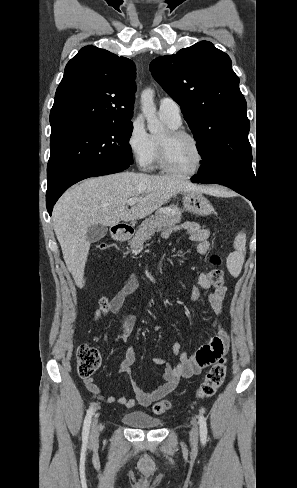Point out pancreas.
<instances>
[{
    "instance_id": "pancreas-1",
    "label": "pancreas",
    "mask_w": 297,
    "mask_h": 488,
    "mask_svg": "<svg viewBox=\"0 0 297 488\" xmlns=\"http://www.w3.org/2000/svg\"><path fill=\"white\" fill-rule=\"evenodd\" d=\"M162 211L161 209L156 214L148 219H145L135 236L130 242V247L133 250H139L143 247V244L151 238V236L163 227L171 226L180 223L182 217V211L178 206L171 205Z\"/></svg>"
}]
</instances>
